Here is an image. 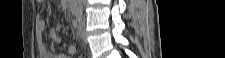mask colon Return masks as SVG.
Returning <instances> with one entry per match:
<instances>
[{"label":"colon","mask_w":225,"mask_h":58,"mask_svg":"<svg viewBox=\"0 0 225 58\" xmlns=\"http://www.w3.org/2000/svg\"><path fill=\"white\" fill-rule=\"evenodd\" d=\"M81 58H85V56H81Z\"/></svg>","instance_id":"5ec220e1"}]
</instances>
